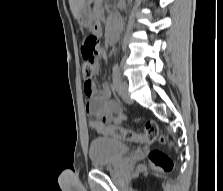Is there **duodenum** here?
<instances>
[{
  "label": "duodenum",
  "mask_w": 223,
  "mask_h": 191,
  "mask_svg": "<svg viewBox=\"0 0 223 191\" xmlns=\"http://www.w3.org/2000/svg\"><path fill=\"white\" fill-rule=\"evenodd\" d=\"M119 32H120L119 26L117 24H113L109 31V40H108L109 45L113 44L117 40Z\"/></svg>",
  "instance_id": "duodenum-1"
}]
</instances>
